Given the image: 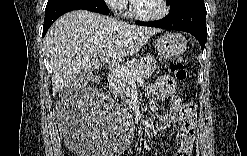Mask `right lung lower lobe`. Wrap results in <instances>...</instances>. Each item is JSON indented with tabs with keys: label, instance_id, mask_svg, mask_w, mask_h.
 I'll return each mask as SVG.
<instances>
[{
	"label": "right lung lower lobe",
	"instance_id": "right-lung-lower-lobe-1",
	"mask_svg": "<svg viewBox=\"0 0 247 156\" xmlns=\"http://www.w3.org/2000/svg\"><path fill=\"white\" fill-rule=\"evenodd\" d=\"M85 9L91 12L109 14V9L104 0H59L46 6L43 27V37L51 24L61 15L72 10Z\"/></svg>",
	"mask_w": 247,
	"mask_h": 156
}]
</instances>
